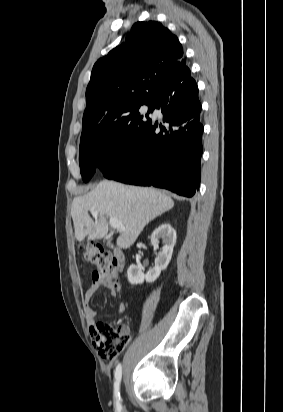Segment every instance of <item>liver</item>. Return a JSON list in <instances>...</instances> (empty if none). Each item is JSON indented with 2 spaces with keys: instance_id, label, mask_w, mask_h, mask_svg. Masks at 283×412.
I'll return each instance as SVG.
<instances>
[{
  "instance_id": "liver-1",
  "label": "liver",
  "mask_w": 283,
  "mask_h": 412,
  "mask_svg": "<svg viewBox=\"0 0 283 412\" xmlns=\"http://www.w3.org/2000/svg\"><path fill=\"white\" fill-rule=\"evenodd\" d=\"M173 206L171 197L156 189L125 186L104 180L92 191L73 199L71 216L75 238L82 241L87 236L88 242L104 238L109 230L108 218L113 217L124 227L117 245L127 249L149 222ZM92 210L98 212L95 221L88 214Z\"/></svg>"
}]
</instances>
